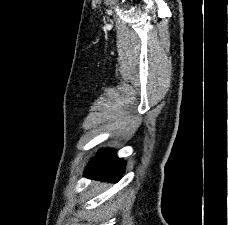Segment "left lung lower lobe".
<instances>
[{
	"label": "left lung lower lobe",
	"instance_id": "1",
	"mask_svg": "<svg viewBox=\"0 0 228 225\" xmlns=\"http://www.w3.org/2000/svg\"><path fill=\"white\" fill-rule=\"evenodd\" d=\"M124 166L125 162L116 157L114 149H101L85 168V176L116 182L121 178Z\"/></svg>",
	"mask_w": 228,
	"mask_h": 225
}]
</instances>
